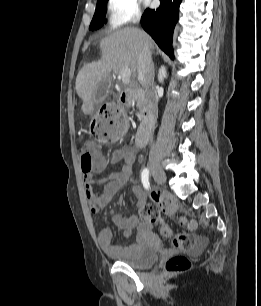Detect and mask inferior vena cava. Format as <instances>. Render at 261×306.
<instances>
[{"instance_id": "602c4592", "label": "inferior vena cava", "mask_w": 261, "mask_h": 306, "mask_svg": "<svg viewBox=\"0 0 261 306\" xmlns=\"http://www.w3.org/2000/svg\"><path fill=\"white\" fill-rule=\"evenodd\" d=\"M138 22V18L136 19ZM138 80L142 84L148 105L157 114L158 98L154 86V71L152 68L151 52L144 46L138 55Z\"/></svg>"}]
</instances>
